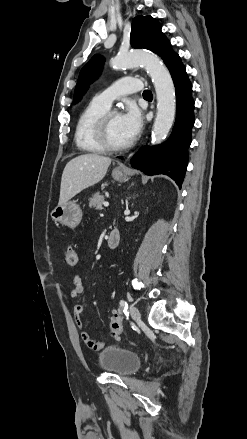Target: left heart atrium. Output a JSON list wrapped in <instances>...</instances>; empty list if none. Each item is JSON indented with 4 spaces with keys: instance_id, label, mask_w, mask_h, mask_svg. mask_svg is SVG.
<instances>
[{
    "instance_id": "39dd6f15",
    "label": "left heart atrium",
    "mask_w": 247,
    "mask_h": 439,
    "mask_svg": "<svg viewBox=\"0 0 247 439\" xmlns=\"http://www.w3.org/2000/svg\"><path fill=\"white\" fill-rule=\"evenodd\" d=\"M121 125L129 140H133L141 131L143 119L140 110L134 104H129L120 116Z\"/></svg>"
}]
</instances>
